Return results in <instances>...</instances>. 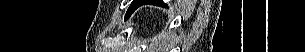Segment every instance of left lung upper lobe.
Segmentation results:
<instances>
[{
	"mask_svg": "<svg viewBox=\"0 0 305 52\" xmlns=\"http://www.w3.org/2000/svg\"><path fill=\"white\" fill-rule=\"evenodd\" d=\"M139 2H140V0H134L132 2L131 6L129 7V9L126 13V17L130 16L135 11V9H137L140 6V4H138ZM147 3L154 4V1H150V2L147 1Z\"/></svg>",
	"mask_w": 305,
	"mask_h": 52,
	"instance_id": "left-lung-upper-lobe-1",
	"label": "left lung upper lobe"
}]
</instances>
